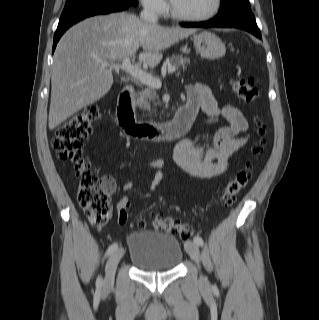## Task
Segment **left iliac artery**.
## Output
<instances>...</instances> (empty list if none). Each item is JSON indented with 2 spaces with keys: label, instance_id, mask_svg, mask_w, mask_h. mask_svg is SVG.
<instances>
[{
  "label": "left iliac artery",
  "instance_id": "left-iliac-artery-1",
  "mask_svg": "<svg viewBox=\"0 0 319 320\" xmlns=\"http://www.w3.org/2000/svg\"><path fill=\"white\" fill-rule=\"evenodd\" d=\"M194 242H196L197 245H199V246H203V244H204V241H203L202 237H200V236H195Z\"/></svg>",
  "mask_w": 319,
  "mask_h": 320
}]
</instances>
